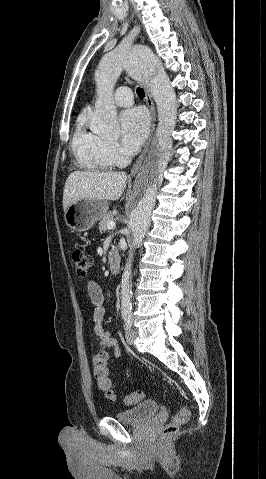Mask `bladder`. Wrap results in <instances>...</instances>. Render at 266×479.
Masks as SVG:
<instances>
[{
  "instance_id": "1",
  "label": "bladder",
  "mask_w": 266,
  "mask_h": 479,
  "mask_svg": "<svg viewBox=\"0 0 266 479\" xmlns=\"http://www.w3.org/2000/svg\"><path fill=\"white\" fill-rule=\"evenodd\" d=\"M159 406L156 402L146 400L138 405L115 413L113 416L120 422L127 424H143L157 415Z\"/></svg>"
}]
</instances>
